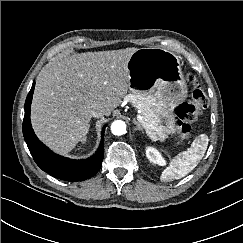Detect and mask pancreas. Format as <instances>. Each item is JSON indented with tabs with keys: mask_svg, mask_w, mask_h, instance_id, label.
Returning a JSON list of instances; mask_svg holds the SVG:
<instances>
[{
	"mask_svg": "<svg viewBox=\"0 0 243 243\" xmlns=\"http://www.w3.org/2000/svg\"><path fill=\"white\" fill-rule=\"evenodd\" d=\"M126 100L141 112V116L146 123L144 128L147 133L154 140L164 141L167 135L164 126L161 124L151 95L146 93H130L126 96Z\"/></svg>",
	"mask_w": 243,
	"mask_h": 243,
	"instance_id": "pancreas-1",
	"label": "pancreas"
}]
</instances>
